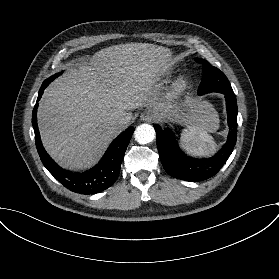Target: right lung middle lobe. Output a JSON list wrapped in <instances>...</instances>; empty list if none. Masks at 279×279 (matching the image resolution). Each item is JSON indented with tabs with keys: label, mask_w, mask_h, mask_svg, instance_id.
I'll list each match as a JSON object with an SVG mask.
<instances>
[{
	"label": "right lung middle lobe",
	"mask_w": 279,
	"mask_h": 279,
	"mask_svg": "<svg viewBox=\"0 0 279 279\" xmlns=\"http://www.w3.org/2000/svg\"><path fill=\"white\" fill-rule=\"evenodd\" d=\"M60 74H61V73H58V74L53 75L52 77H50V78L48 79V81H49V82L53 81L54 78H56V77L59 76Z\"/></svg>",
	"instance_id": "dd1d6c3e"
}]
</instances>
